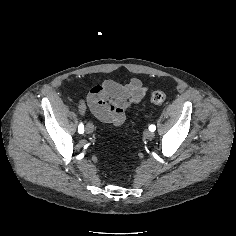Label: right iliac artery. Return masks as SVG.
<instances>
[{
	"mask_svg": "<svg viewBox=\"0 0 236 236\" xmlns=\"http://www.w3.org/2000/svg\"><path fill=\"white\" fill-rule=\"evenodd\" d=\"M78 132L80 134H82L84 132V125L82 123H80L79 127H78Z\"/></svg>",
	"mask_w": 236,
	"mask_h": 236,
	"instance_id": "82829eb1",
	"label": "right iliac artery"
}]
</instances>
